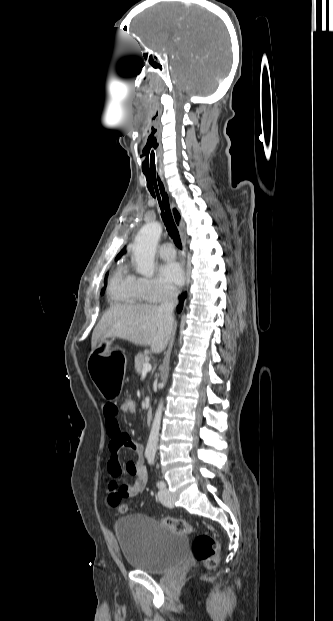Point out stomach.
Segmentation results:
<instances>
[{"mask_svg": "<svg viewBox=\"0 0 333 621\" xmlns=\"http://www.w3.org/2000/svg\"><path fill=\"white\" fill-rule=\"evenodd\" d=\"M121 341L108 339L101 341L87 357L91 378L98 393L113 397L118 402L125 384L124 370L127 366V355Z\"/></svg>", "mask_w": 333, "mask_h": 621, "instance_id": "obj_1", "label": "stomach"}]
</instances>
